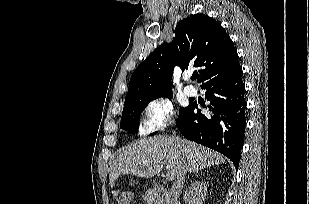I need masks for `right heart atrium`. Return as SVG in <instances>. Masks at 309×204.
Segmentation results:
<instances>
[{"instance_id":"obj_1","label":"right heart atrium","mask_w":309,"mask_h":204,"mask_svg":"<svg viewBox=\"0 0 309 204\" xmlns=\"http://www.w3.org/2000/svg\"><path fill=\"white\" fill-rule=\"evenodd\" d=\"M173 105L165 97L151 99L144 108V119L142 122L143 132H153L165 127L173 117Z\"/></svg>"}]
</instances>
